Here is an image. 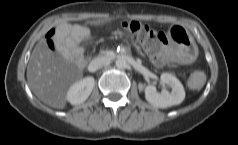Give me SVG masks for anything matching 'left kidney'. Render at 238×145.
<instances>
[{"label": "left kidney", "mask_w": 238, "mask_h": 145, "mask_svg": "<svg viewBox=\"0 0 238 145\" xmlns=\"http://www.w3.org/2000/svg\"><path fill=\"white\" fill-rule=\"evenodd\" d=\"M160 80L163 84L171 87V92L167 89L157 92L155 86H144L140 83L138 88L140 91L144 90L146 100L153 106L159 108H167L182 103L185 98V90L182 83L169 73H162Z\"/></svg>", "instance_id": "left-kidney-1"}]
</instances>
